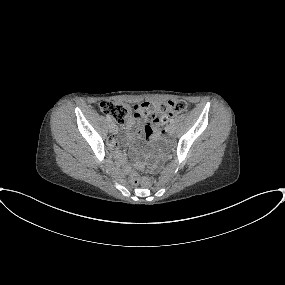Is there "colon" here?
Here are the masks:
<instances>
[{
	"mask_svg": "<svg viewBox=\"0 0 285 285\" xmlns=\"http://www.w3.org/2000/svg\"><path fill=\"white\" fill-rule=\"evenodd\" d=\"M99 107L117 123L127 125L132 115L153 122L167 121L172 116L183 112L187 108V103L183 100L162 103L143 102L131 108L124 103L102 101ZM134 178L136 179V176Z\"/></svg>",
	"mask_w": 285,
	"mask_h": 285,
	"instance_id": "colon-1",
	"label": "colon"
}]
</instances>
